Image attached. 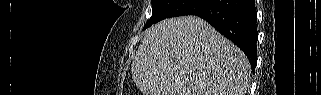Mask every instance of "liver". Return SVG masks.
Returning <instances> with one entry per match:
<instances>
[{"label": "liver", "instance_id": "1", "mask_svg": "<svg viewBox=\"0 0 321 95\" xmlns=\"http://www.w3.org/2000/svg\"><path fill=\"white\" fill-rule=\"evenodd\" d=\"M131 73L144 95H246L251 78L244 53L195 16L147 29Z\"/></svg>", "mask_w": 321, "mask_h": 95}]
</instances>
